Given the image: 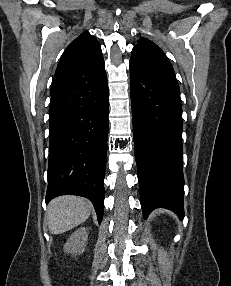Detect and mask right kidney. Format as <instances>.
<instances>
[{"label":"right kidney","mask_w":231,"mask_h":286,"mask_svg":"<svg viewBox=\"0 0 231 286\" xmlns=\"http://www.w3.org/2000/svg\"><path fill=\"white\" fill-rule=\"evenodd\" d=\"M88 240V233L85 227L77 229L64 245V251L71 254L83 253Z\"/></svg>","instance_id":"right-kidney-1"}]
</instances>
